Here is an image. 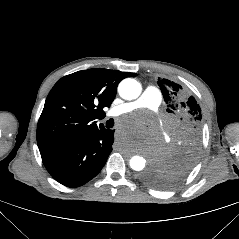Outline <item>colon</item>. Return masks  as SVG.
Masks as SVG:
<instances>
[{
	"label": "colon",
	"instance_id": "colon-1",
	"mask_svg": "<svg viewBox=\"0 0 239 239\" xmlns=\"http://www.w3.org/2000/svg\"><path fill=\"white\" fill-rule=\"evenodd\" d=\"M195 108V105L193 103L188 104V109L191 111Z\"/></svg>",
	"mask_w": 239,
	"mask_h": 239
}]
</instances>
